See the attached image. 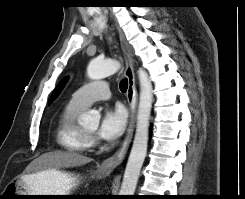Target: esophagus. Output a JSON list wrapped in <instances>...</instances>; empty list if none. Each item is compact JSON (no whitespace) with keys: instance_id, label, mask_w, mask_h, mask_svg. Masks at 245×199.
Returning <instances> with one entry per match:
<instances>
[{"instance_id":"34e87169","label":"esophagus","mask_w":245,"mask_h":199,"mask_svg":"<svg viewBox=\"0 0 245 199\" xmlns=\"http://www.w3.org/2000/svg\"><path fill=\"white\" fill-rule=\"evenodd\" d=\"M119 40L121 49L124 56L125 61V76L128 79V88H127V102L130 109V119L129 125L126 133V137L121 145V147L109 158L105 159L101 163V170L105 172L113 171L118 165H120L126 155L129 144L132 140L135 122H136V114H137V91L135 85V73H134V60L131 53V50L126 42L125 36L121 30H118Z\"/></svg>"}]
</instances>
